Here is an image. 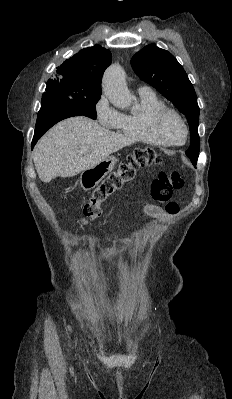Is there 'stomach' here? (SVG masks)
I'll return each instance as SVG.
<instances>
[{
  "mask_svg": "<svg viewBox=\"0 0 232 399\" xmlns=\"http://www.w3.org/2000/svg\"><path fill=\"white\" fill-rule=\"evenodd\" d=\"M115 164H117V158L108 156V158L102 160L97 166H93L90 170H84L80 176L81 188H83V190H92V188L98 186L101 180L114 170Z\"/></svg>",
  "mask_w": 232,
  "mask_h": 399,
  "instance_id": "1",
  "label": "stomach"
}]
</instances>
